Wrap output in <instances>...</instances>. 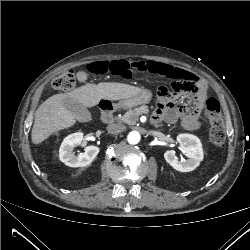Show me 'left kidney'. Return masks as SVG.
Returning <instances> with one entry per match:
<instances>
[{
	"label": "left kidney",
	"instance_id": "5707ae66",
	"mask_svg": "<svg viewBox=\"0 0 250 250\" xmlns=\"http://www.w3.org/2000/svg\"><path fill=\"white\" fill-rule=\"evenodd\" d=\"M177 141L180 144V150L189 158L188 160H178L174 150H168L164 153V158L175 170L179 172H190L195 170L203 160V149L201 141L192 134H179Z\"/></svg>",
	"mask_w": 250,
	"mask_h": 250
}]
</instances>
